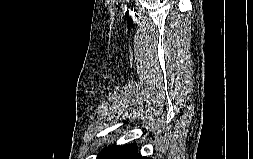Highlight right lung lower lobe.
Wrapping results in <instances>:
<instances>
[{
    "mask_svg": "<svg viewBox=\"0 0 253 159\" xmlns=\"http://www.w3.org/2000/svg\"><path fill=\"white\" fill-rule=\"evenodd\" d=\"M98 159H150L138 154L137 145L129 144L124 146H113Z\"/></svg>",
    "mask_w": 253,
    "mask_h": 159,
    "instance_id": "right-lung-lower-lobe-1",
    "label": "right lung lower lobe"
}]
</instances>
